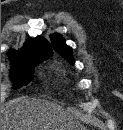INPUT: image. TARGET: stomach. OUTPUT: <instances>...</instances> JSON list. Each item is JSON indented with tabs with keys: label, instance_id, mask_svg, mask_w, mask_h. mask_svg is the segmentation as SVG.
I'll return each instance as SVG.
<instances>
[{
	"label": "stomach",
	"instance_id": "1",
	"mask_svg": "<svg viewBox=\"0 0 123 130\" xmlns=\"http://www.w3.org/2000/svg\"><path fill=\"white\" fill-rule=\"evenodd\" d=\"M71 130H82V129H79V128H73V129H71Z\"/></svg>",
	"mask_w": 123,
	"mask_h": 130
}]
</instances>
